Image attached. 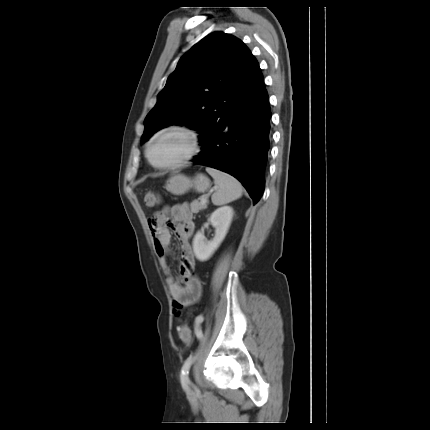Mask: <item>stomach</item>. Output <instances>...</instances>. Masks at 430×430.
Masks as SVG:
<instances>
[{"instance_id":"stomach-1","label":"stomach","mask_w":430,"mask_h":430,"mask_svg":"<svg viewBox=\"0 0 430 430\" xmlns=\"http://www.w3.org/2000/svg\"><path fill=\"white\" fill-rule=\"evenodd\" d=\"M165 187L171 194L180 196L191 189L199 193H204L210 187V182L203 174H197L193 178L187 177L184 174H177L167 180Z\"/></svg>"}]
</instances>
